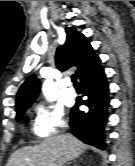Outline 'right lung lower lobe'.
<instances>
[{"instance_id": "obj_1", "label": "right lung lower lobe", "mask_w": 135, "mask_h": 166, "mask_svg": "<svg viewBox=\"0 0 135 166\" xmlns=\"http://www.w3.org/2000/svg\"><path fill=\"white\" fill-rule=\"evenodd\" d=\"M80 82L87 100L77 99L76 106L70 115L71 131L83 142L97 148L105 147L104 125L108 119L109 84L101 66V60L85 70L80 76ZM88 107L79 111L77 105Z\"/></svg>"}]
</instances>
